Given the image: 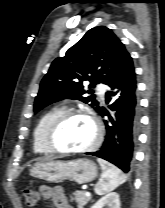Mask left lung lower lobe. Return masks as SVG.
<instances>
[{
  "instance_id": "0a47b994",
  "label": "left lung lower lobe",
  "mask_w": 165,
  "mask_h": 208,
  "mask_svg": "<svg viewBox=\"0 0 165 208\" xmlns=\"http://www.w3.org/2000/svg\"><path fill=\"white\" fill-rule=\"evenodd\" d=\"M107 85L106 103H110L112 112L103 107L98 111L109 118V121L104 120L105 141L98 151L87 154L105 159L128 173L132 169L140 120L136 76L130 55Z\"/></svg>"
}]
</instances>
